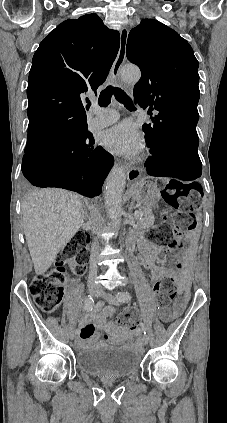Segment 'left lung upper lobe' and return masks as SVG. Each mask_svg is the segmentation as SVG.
I'll list each match as a JSON object with an SVG mask.
<instances>
[{"instance_id":"left-lung-upper-lobe-1","label":"left lung upper lobe","mask_w":227,"mask_h":423,"mask_svg":"<svg viewBox=\"0 0 227 423\" xmlns=\"http://www.w3.org/2000/svg\"><path fill=\"white\" fill-rule=\"evenodd\" d=\"M127 58L142 73L134 86L135 104L158 111L157 122L198 121V61L184 38L157 20L144 19L129 33Z\"/></svg>"}]
</instances>
